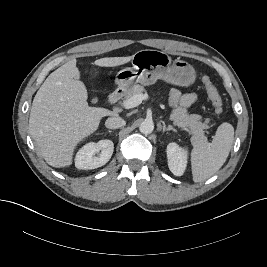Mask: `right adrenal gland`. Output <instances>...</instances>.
Listing matches in <instances>:
<instances>
[{
  "label": "right adrenal gland",
  "instance_id": "2a0ac1e0",
  "mask_svg": "<svg viewBox=\"0 0 267 267\" xmlns=\"http://www.w3.org/2000/svg\"><path fill=\"white\" fill-rule=\"evenodd\" d=\"M107 132H109V133H112L113 131H111V130H108Z\"/></svg>",
  "mask_w": 267,
  "mask_h": 267
}]
</instances>
